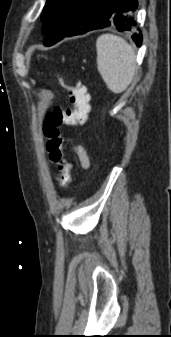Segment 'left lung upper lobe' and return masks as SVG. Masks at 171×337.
<instances>
[{
	"instance_id": "1",
	"label": "left lung upper lobe",
	"mask_w": 171,
	"mask_h": 337,
	"mask_svg": "<svg viewBox=\"0 0 171 337\" xmlns=\"http://www.w3.org/2000/svg\"><path fill=\"white\" fill-rule=\"evenodd\" d=\"M85 0H48L41 19L45 45L60 41L76 24Z\"/></svg>"
}]
</instances>
